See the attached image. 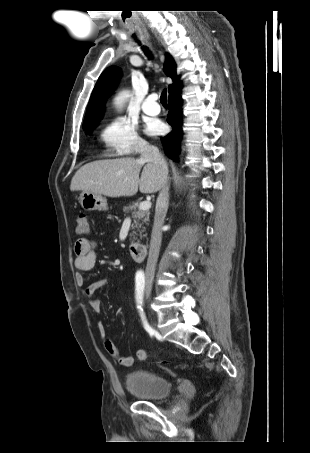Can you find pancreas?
Masks as SVG:
<instances>
[{"label":"pancreas","instance_id":"cf45deb5","mask_svg":"<svg viewBox=\"0 0 310 453\" xmlns=\"http://www.w3.org/2000/svg\"><path fill=\"white\" fill-rule=\"evenodd\" d=\"M139 208L138 203H133L129 206H124L123 207V212L125 213H131L132 218H133V224H132V232L130 233V237L132 239H136L137 232H139L140 238L146 236L142 235L143 232H145L146 228L144 227V224H148L149 221V211H143Z\"/></svg>","mask_w":310,"mask_h":453}]
</instances>
